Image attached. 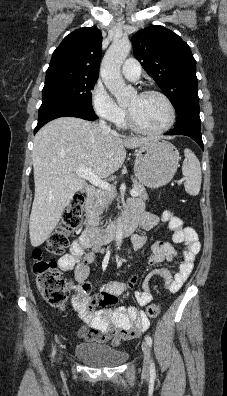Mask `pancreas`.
<instances>
[{
    "label": "pancreas",
    "mask_w": 227,
    "mask_h": 396,
    "mask_svg": "<svg viewBox=\"0 0 227 396\" xmlns=\"http://www.w3.org/2000/svg\"><path fill=\"white\" fill-rule=\"evenodd\" d=\"M133 189L138 192V197L147 200L148 195L144 185L138 182H134ZM115 195L113 193L99 192L96 199L93 200L86 208V218L90 225H98L100 223V215L103 213V209L113 200Z\"/></svg>",
    "instance_id": "obj_1"
}]
</instances>
